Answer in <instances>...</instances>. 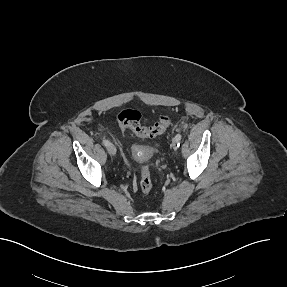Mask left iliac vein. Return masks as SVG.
Listing matches in <instances>:
<instances>
[{"label":"left iliac vein","mask_w":287,"mask_h":287,"mask_svg":"<svg viewBox=\"0 0 287 287\" xmlns=\"http://www.w3.org/2000/svg\"><path fill=\"white\" fill-rule=\"evenodd\" d=\"M172 148H173L174 150L177 149V140H176V138H173V140H172Z\"/></svg>","instance_id":"obj_1"}]
</instances>
